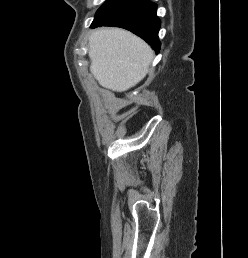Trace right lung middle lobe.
<instances>
[{"mask_svg":"<svg viewBox=\"0 0 248 258\" xmlns=\"http://www.w3.org/2000/svg\"><path fill=\"white\" fill-rule=\"evenodd\" d=\"M118 2L119 0H106L105 3L96 12L94 20H97L98 18H100Z\"/></svg>","mask_w":248,"mask_h":258,"instance_id":"obj_1","label":"right lung middle lobe"}]
</instances>
